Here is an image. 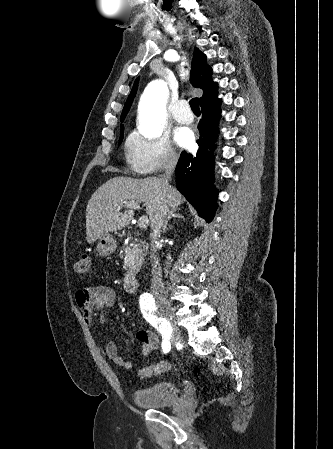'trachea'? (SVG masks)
I'll return each instance as SVG.
<instances>
[{"label":"trachea","mask_w":333,"mask_h":449,"mask_svg":"<svg viewBox=\"0 0 333 449\" xmlns=\"http://www.w3.org/2000/svg\"><path fill=\"white\" fill-rule=\"evenodd\" d=\"M189 104H190V107H191L193 112H200L198 98H192L190 100Z\"/></svg>","instance_id":"3493384b"}]
</instances>
